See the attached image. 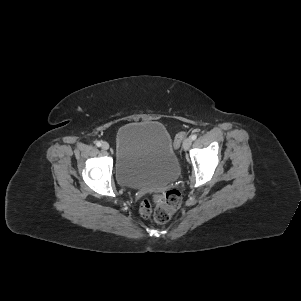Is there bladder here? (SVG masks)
<instances>
[{"mask_svg":"<svg viewBox=\"0 0 301 301\" xmlns=\"http://www.w3.org/2000/svg\"><path fill=\"white\" fill-rule=\"evenodd\" d=\"M114 168L120 185L136 189L162 187L180 172L171 136L155 121L131 122L118 130Z\"/></svg>","mask_w":301,"mask_h":301,"instance_id":"bladder-1","label":"bladder"}]
</instances>
